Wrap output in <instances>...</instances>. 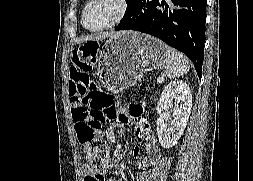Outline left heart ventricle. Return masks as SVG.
Segmentation results:
<instances>
[{
  "label": "left heart ventricle",
  "mask_w": 253,
  "mask_h": 181,
  "mask_svg": "<svg viewBox=\"0 0 253 181\" xmlns=\"http://www.w3.org/2000/svg\"><path fill=\"white\" fill-rule=\"evenodd\" d=\"M118 8V0H94L86 11L85 23L90 28H100L114 17Z\"/></svg>",
  "instance_id": "b2bd125f"
}]
</instances>
